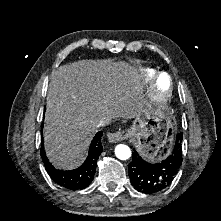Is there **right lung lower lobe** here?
Segmentation results:
<instances>
[{
	"label": "right lung lower lobe",
	"instance_id": "1",
	"mask_svg": "<svg viewBox=\"0 0 221 221\" xmlns=\"http://www.w3.org/2000/svg\"><path fill=\"white\" fill-rule=\"evenodd\" d=\"M102 134L101 131L98 132L92 140L89 155L85 162L79 168L69 171L57 170L50 164L46 157L42 141L41 157L44 161L46 170L53 181L70 190H79L88 187L94 177L98 157L103 151V147L101 146Z\"/></svg>",
	"mask_w": 221,
	"mask_h": 221
}]
</instances>
